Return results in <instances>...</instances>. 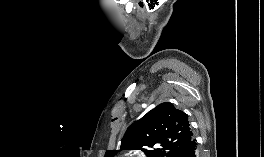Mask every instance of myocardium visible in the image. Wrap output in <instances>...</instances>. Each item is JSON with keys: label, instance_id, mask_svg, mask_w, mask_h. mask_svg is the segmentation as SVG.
Listing matches in <instances>:
<instances>
[{"label": "myocardium", "instance_id": "obj_1", "mask_svg": "<svg viewBox=\"0 0 264 157\" xmlns=\"http://www.w3.org/2000/svg\"><path fill=\"white\" fill-rule=\"evenodd\" d=\"M132 157H140V156H132Z\"/></svg>", "mask_w": 264, "mask_h": 157}]
</instances>
